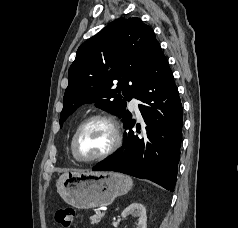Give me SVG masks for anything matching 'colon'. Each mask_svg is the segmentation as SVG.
<instances>
[{
	"label": "colon",
	"instance_id": "5ec220e1",
	"mask_svg": "<svg viewBox=\"0 0 238 228\" xmlns=\"http://www.w3.org/2000/svg\"><path fill=\"white\" fill-rule=\"evenodd\" d=\"M54 220L63 228H73L76 224V212L71 207H64L55 210Z\"/></svg>",
	"mask_w": 238,
	"mask_h": 228
}]
</instances>
